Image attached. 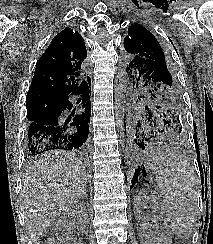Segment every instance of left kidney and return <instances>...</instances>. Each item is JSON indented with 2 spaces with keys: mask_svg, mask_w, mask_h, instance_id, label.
Returning <instances> with one entry per match:
<instances>
[{
  "mask_svg": "<svg viewBox=\"0 0 213 244\" xmlns=\"http://www.w3.org/2000/svg\"><path fill=\"white\" fill-rule=\"evenodd\" d=\"M145 209H150L151 213L146 214ZM134 213L143 244H172L161 206L152 192L143 190L138 193L134 201ZM149 219H152L153 224H149Z\"/></svg>",
  "mask_w": 213,
  "mask_h": 244,
  "instance_id": "left-kidney-1",
  "label": "left kidney"
}]
</instances>
